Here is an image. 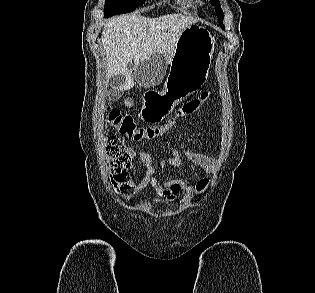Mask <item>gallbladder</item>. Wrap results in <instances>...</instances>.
Here are the masks:
<instances>
[{
    "mask_svg": "<svg viewBox=\"0 0 315 293\" xmlns=\"http://www.w3.org/2000/svg\"><path fill=\"white\" fill-rule=\"evenodd\" d=\"M111 84L114 88H117V86L122 85L124 82V77L121 74L115 75L111 78ZM119 92V90H117Z\"/></svg>",
    "mask_w": 315,
    "mask_h": 293,
    "instance_id": "obj_1",
    "label": "gallbladder"
}]
</instances>
